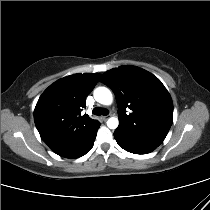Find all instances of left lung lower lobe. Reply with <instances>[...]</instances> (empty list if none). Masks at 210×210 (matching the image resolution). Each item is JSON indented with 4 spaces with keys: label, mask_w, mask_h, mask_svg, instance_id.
<instances>
[{
    "label": "left lung lower lobe",
    "mask_w": 210,
    "mask_h": 210,
    "mask_svg": "<svg viewBox=\"0 0 210 210\" xmlns=\"http://www.w3.org/2000/svg\"><path fill=\"white\" fill-rule=\"evenodd\" d=\"M115 140L121 148L135 154H147L156 149L159 145L145 143L124 138L114 133Z\"/></svg>",
    "instance_id": "0a47b994"
}]
</instances>
